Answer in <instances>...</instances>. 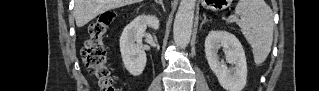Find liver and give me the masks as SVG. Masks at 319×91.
<instances>
[{
    "instance_id": "6515ba94",
    "label": "liver",
    "mask_w": 319,
    "mask_h": 91,
    "mask_svg": "<svg viewBox=\"0 0 319 91\" xmlns=\"http://www.w3.org/2000/svg\"><path fill=\"white\" fill-rule=\"evenodd\" d=\"M141 0H75V20L82 27L107 10L130 5Z\"/></svg>"
}]
</instances>
